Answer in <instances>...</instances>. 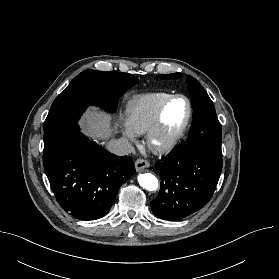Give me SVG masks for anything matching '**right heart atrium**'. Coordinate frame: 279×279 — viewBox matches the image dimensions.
<instances>
[{
	"mask_svg": "<svg viewBox=\"0 0 279 279\" xmlns=\"http://www.w3.org/2000/svg\"><path fill=\"white\" fill-rule=\"evenodd\" d=\"M123 134L126 138H128L131 141H134L135 138H136V135H137L130 128H128L127 126L124 128Z\"/></svg>",
	"mask_w": 279,
	"mask_h": 279,
	"instance_id": "d8ad5b80",
	"label": "right heart atrium"
}]
</instances>
